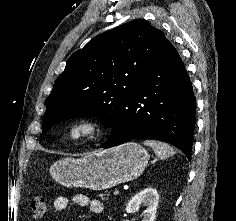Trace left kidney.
<instances>
[{
    "mask_svg": "<svg viewBox=\"0 0 236 221\" xmlns=\"http://www.w3.org/2000/svg\"><path fill=\"white\" fill-rule=\"evenodd\" d=\"M159 202V194L156 189L148 187L136 194L127 204L126 212L135 213L143 204L146 210L143 212L142 221H154Z\"/></svg>",
    "mask_w": 236,
    "mask_h": 221,
    "instance_id": "5707ae66",
    "label": "left kidney"
}]
</instances>
